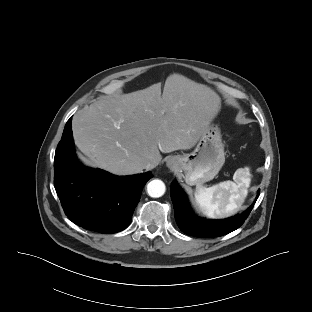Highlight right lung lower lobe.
Wrapping results in <instances>:
<instances>
[{
	"label": "right lung lower lobe",
	"instance_id": "right-lung-lower-lobe-1",
	"mask_svg": "<svg viewBox=\"0 0 312 312\" xmlns=\"http://www.w3.org/2000/svg\"><path fill=\"white\" fill-rule=\"evenodd\" d=\"M71 118L65 125L54 158V186L68 218L96 232L124 230L131 222L151 171L116 176L83 166L75 155Z\"/></svg>",
	"mask_w": 312,
	"mask_h": 312
}]
</instances>
